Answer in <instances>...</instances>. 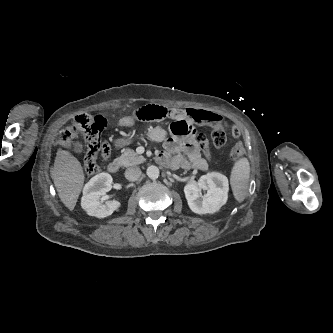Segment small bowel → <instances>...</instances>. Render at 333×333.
Segmentation results:
<instances>
[{
    "mask_svg": "<svg viewBox=\"0 0 333 333\" xmlns=\"http://www.w3.org/2000/svg\"><path fill=\"white\" fill-rule=\"evenodd\" d=\"M189 111L200 115L195 116L187 114ZM187 112H183V115L192 117L200 122H211L221 124L222 126H226L228 124L226 119L215 112L206 110H187ZM135 122H130L127 118H125L116 122L115 125L119 128L124 125H132ZM157 160L159 163L171 168H194L198 170H206L208 167L206 160L201 155L199 145L191 136L182 139L175 135L168 138L164 143V150L158 154Z\"/></svg>",
    "mask_w": 333,
    "mask_h": 333,
    "instance_id": "obj_1",
    "label": "small bowel"
}]
</instances>
